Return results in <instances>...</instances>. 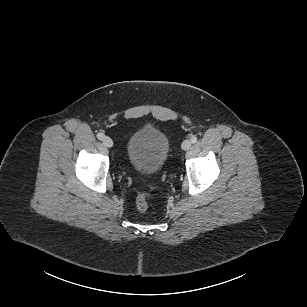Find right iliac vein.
I'll list each match as a JSON object with an SVG mask.
<instances>
[{
  "instance_id": "1",
  "label": "right iliac vein",
  "mask_w": 307,
  "mask_h": 307,
  "mask_svg": "<svg viewBox=\"0 0 307 307\" xmlns=\"http://www.w3.org/2000/svg\"><path fill=\"white\" fill-rule=\"evenodd\" d=\"M102 143L105 147L107 148H111L113 146V141L110 137L108 136H105L103 139H102Z\"/></svg>"
}]
</instances>
